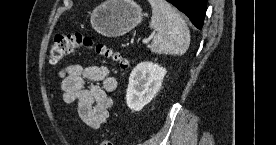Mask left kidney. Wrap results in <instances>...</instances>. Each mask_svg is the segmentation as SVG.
<instances>
[{
    "mask_svg": "<svg viewBox=\"0 0 276 145\" xmlns=\"http://www.w3.org/2000/svg\"><path fill=\"white\" fill-rule=\"evenodd\" d=\"M166 69L152 62H141L131 72L126 93L127 106L140 111L161 88Z\"/></svg>",
    "mask_w": 276,
    "mask_h": 145,
    "instance_id": "1",
    "label": "left kidney"
}]
</instances>
